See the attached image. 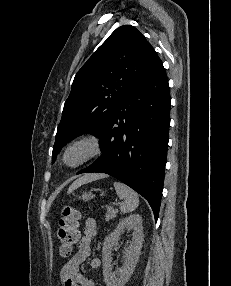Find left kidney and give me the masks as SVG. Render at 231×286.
I'll list each match as a JSON object with an SVG mask.
<instances>
[{
  "instance_id": "obj_1",
  "label": "left kidney",
  "mask_w": 231,
  "mask_h": 286,
  "mask_svg": "<svg viewBox=\"0 0 231 286\" xmlns=\"http://www.w3.org/2000/svg\"><path fill=\"white\" fill-rule=\"evenodd\" d=\"M124 230H133L132 241L126 249V259L123 267L112 272V248L117 244L119 236ZM142 218L133 214L119 222L115 230L104 240L102 249L103 277L107 286H124L131 277L143 244Z\"/></svg>"
}]
</instances>
